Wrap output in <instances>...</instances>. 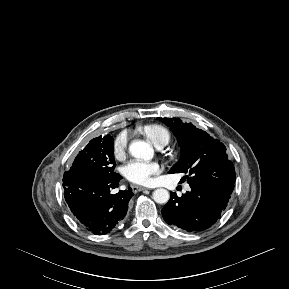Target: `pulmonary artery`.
I'll return each mask as SVG.
<instances>
[{
	"label": "pulmonary artery",
	"instance_id": "e3ab8cb5",
	"mask_svg": "<svg viewBox=\"0 0 289 289\" xmlns=\"http://www.w3.org/2000/svg\"><path fill=\"white\" fill-rule=\"evenodd\" d=\"M158 148H162V146H159ZM185 189H186V190H189L190 187H189V186H186Z\"/></svg>",
	"mask_w": 289,
	"mask_h": 289
}]
</instances>
